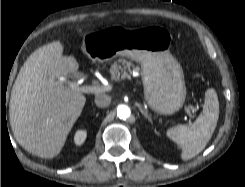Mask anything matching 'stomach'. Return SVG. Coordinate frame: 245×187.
I'll return each instance as SVG.
<instances>
[{
  "label": "stomach",
  "instance_id": "1",
  "mask_svg": "<svg viewBox=\"0 0 245 187\" xmlns=\"http://www.w3.org/2000/svg\"><path fill=\"white\" fill-rule=\"evenodd\" d=\"M171 39V34L159 26H114L85 35L82 50L97 62L117 56L139 62L146 102L155 112L169 115L183 106L186 97L182 67L169 52Z\"/></svg>",
  "mask_w": 245,
  "mask_h": 187
}]
</instances>
